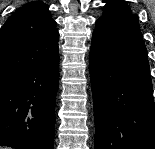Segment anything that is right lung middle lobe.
Masks as SVG:
<instances>
[{
  "mask_svg": "<svg viewBox=\"0 0 155 149\" xmlns=\"http://www.w3.org/2000/svg\"><path fill=\"white\" fill-rule=\"evenodd\" d=\"M9 77H10V76H9ZM6 78H8V77L0 76V81L4 80V79H6Z\"/></svg>",
  "mask_w": 155,
  "mask_h": 149,
  "instance_id": "right-lung-middle-lobe-1",
  "label": "right lung middle lobe"
}]
</instances>
